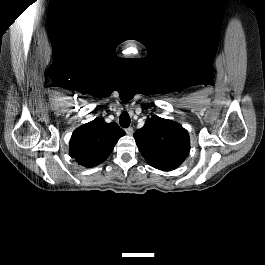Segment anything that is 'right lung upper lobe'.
Listing matches in <instances>:
<instances>
[{"mask_svg":"<svg viewBox=\"0 0 265 265\" xmlns=\"http://www.w3.org/2000/svg\"><path fill=\"white\" fill-rule=\"evenodd\" d=\"M125 132L115 122L98 118L77 128L70 140V156L85 167L102 163Z\"/></svg>","mask_w":265,"mask_h":265,"instance_id":"1","label":"right lung upper lobe"}]
</instances>
